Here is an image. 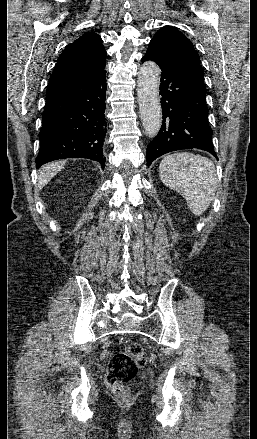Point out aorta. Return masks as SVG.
I'll use <instances>...</instances> for the list:
<instances>
[{"label": "aorta", "mask_w": 257, "mask_h": 439, "mask_svg": "<svg viewBox=\"0 0 257 439\" xmlns=\"http://www.w3.org/2000/svg\"><path fill=\"white\" fill-rule=\"evenodd\" d=\"M159 75L158 65L147 61L141 66L137 80L140 116L145 132L151 137L158 134L162 123Z\"/></svg>", "instance_id": "762f6f07"}]
</instances>
